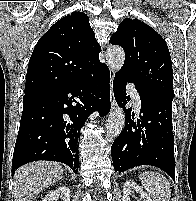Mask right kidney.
Masks as SVG:
<instances>
[{
	"label": "right kidney",
	"mask_w": 196,
	"mask_h": 201,
	"mask_svg": "<svg viewBox=\"0 0 196 201\" xmlns=\"http://www.w3.org/2000/svg\"><path fill=\"white\" fill-rule=\"evenodd\" d=\"M59 198L63 201H70V191L66 186H60L55 190H51L43 201H57Z\"/></svg>",
	"instance_id": "1"
}]
</instances>
